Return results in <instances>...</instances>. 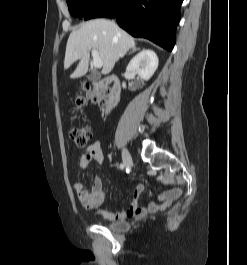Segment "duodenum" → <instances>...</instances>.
<instances>
[{
    "label": "duodenum",
    "instance_id": "410a0bca",
    "mask_svg": "<svg viewBox=\"0 0 247 265\" xmlns=\"http://www.w3.org/2000/svg\"><path fill=\"white\" fill-rule=\"evenodd\" d=\"M108 83L111 84L112 97H111L110 104H109L108 108L106 109V111H109L111 108H113L119 99V85H118L117 80L115 78H110L106 81L98 83L97 85L103 86V85L108 84Z\"/></svg>",
    "mask_w": 247,
    "mask_h": 265
}]
</instances>
